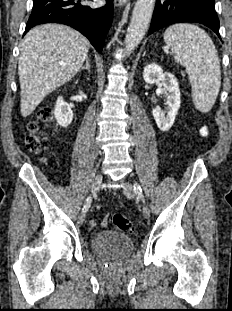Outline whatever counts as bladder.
Listing matches in <instances>:
<instances>
[{
	"label": "bladder",
	"mask_w": 232,
	"mask_h": 311,
	"mask_svg": "<svg viewBox=\"0 0 232 311\" xmlns=\"http://www.w3.org/2000/svg\"><path fill=\"white\" fill-rule=\"evenodd\" d=\"M91 247L95 253L111 258H119L133 250V241L127 235L112 231H101L91 237Z\"/></svg>",
	"instance_id": "31cf9c89"
}]
</instances>
